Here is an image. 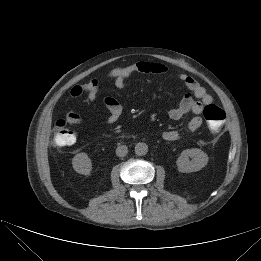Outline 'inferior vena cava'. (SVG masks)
Returning <instances> with one entry per match:
<instances>
[{"instance_id":"602c4592","label":"inferior vena cava","mask_w":261,"mask_h":261,"mask_svg":"<svg viewBox=\"0 0 261 261\" xmlns=\"http://www.w3.org/2000/svg\"><path fill=\"white\" fill-rule=\"evenodd\" d=\"M127 153H128V148L125 145H120L116 149V155L118 157H124L127 155Z\"/></svg>"}]
</instances>
